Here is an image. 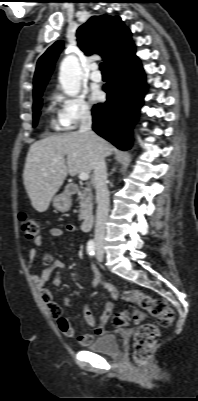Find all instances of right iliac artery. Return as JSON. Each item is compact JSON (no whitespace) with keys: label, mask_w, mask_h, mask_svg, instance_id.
<instances>
[{"label":"right iliac artery","mask_w":198,"mask_h":401,"mask_svg":"<svg viewBox=\"0 0 198 401\" xmlns=\"http://www.w3.org/2000/svg\"><path fill=\"white\" fill-rule=\"evenodd\" d=\"M87 252L90 256H93L95 254V243L94 241L90 240L87 243Z\"/></svg>","instance_id":"right-iliac-artery-1"}]
</instances>
